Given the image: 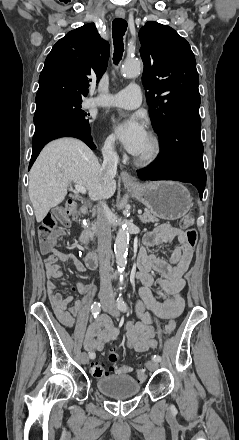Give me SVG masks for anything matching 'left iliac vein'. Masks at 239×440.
<instances>
[{
  "mask_svg": "<svg viewBox=\"0 0 239 440\" xmlns=\"http://www.w3.org/2000/svg\"><path fill=\"white\" fill-rule=\"evenodd\" d=\"M106 311L114 317L119 316V310L117 309V306L114 302L109 303V307ZM146 366H147L148 370L155 371L156 369H158L159 364H158V362L151 360V361L147 362Z\"/></svg>",
  "mask_w": 239,
  "mask_h": 440,
  "instance_id": "obj_1",
  "label": "left iliac vein"
}]
</instances>
